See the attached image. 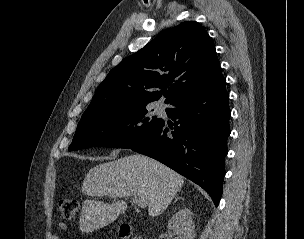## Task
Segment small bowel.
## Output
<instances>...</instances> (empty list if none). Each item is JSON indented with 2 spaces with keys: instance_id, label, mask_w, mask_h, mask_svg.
Segmentation results:
<instances>
[{
  "instance_id": "c3829d8e",
  "label": "small bowel",
  "mask_w": 304,
  "mask_h": 239,
  "mask_svg": "<svg viewBox=\"0 0 304 239\" xmlns=\"http://www.w3.org/2000/svg\"><path fill=\"white\" fill-rule=\"evenodd\" d=\"M58 229H59L60 231H62V232L66 231V230H67V225H66V223H64V222H59V223H58ZM51 238H52V239H61V237H60L58 234H53Z\"/></svg>"
}]
</instances>
